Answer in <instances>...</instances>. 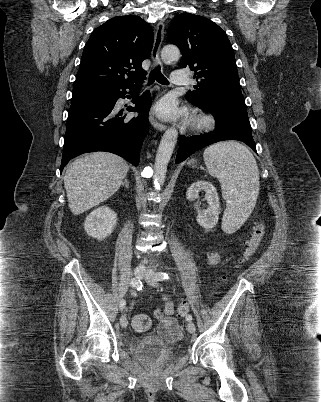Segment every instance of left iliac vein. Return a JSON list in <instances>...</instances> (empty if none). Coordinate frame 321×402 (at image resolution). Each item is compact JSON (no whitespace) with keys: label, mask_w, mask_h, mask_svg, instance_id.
Wrapping results in <instances>:
<instances>
[{"label":"left iliac vein","mask_w":321,"mask_h":402,"mask_svg":"<svg viewBox=\"0 0 321 402\" xmlns=\"http://www.w3.org/2000/svg\"><path fill=\"white\" fill-rule=\"evenodd\" d=\"M145 280L152 286H156L157 280H156V273L152 269H147L145 275H144ZM187 330L189 333L194 334L196 331V326L192 321H189L187 323Z\"/></svg>","instance_id":"obj_1"}]
</instances>
